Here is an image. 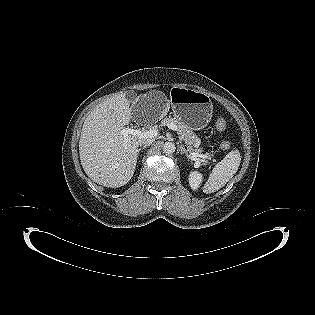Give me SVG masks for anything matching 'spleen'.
I'll return each mask as SVG.
<instances>
[{"label":"spleen","instance_id":"1","mask_svg":"<svg viewBox=\"0 0 315 315\" xmlns=\"http://www.w3.org/2000/svg\"><path fill=\"white\" fill-rule=\"evenodd\" d=\"M241 162L239 150L229 152L221 162L217 163L206 181L203 192L213 193L222 188L237 172Z\"/></svg>","mask_w":315,"mask_h":315}]
</instances>
